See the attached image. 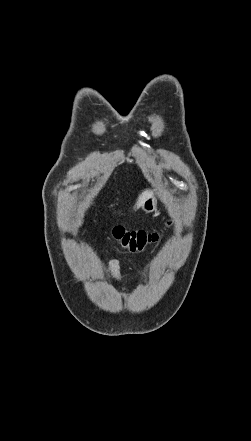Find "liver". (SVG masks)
<instances>
[{"instance_id": "6515ba94", "label": "liver", "mask_w": 251, "mask_h": 441, "mask_svg": "<svg viewBox=\"0 0 251 441\" xmlns=\"http://www.w3.org/2000/svg\"><path fill=\"white\" fill-rule=\"evenodd\" d=\"M151 195H153V191H151V190H149V189L143 191V192L139 195V197H138V199H137V202H136L135 208L140 207L141 204L144 202V200H146V199H147L149 196H151Z\"/></svg>"}]
</instances>
